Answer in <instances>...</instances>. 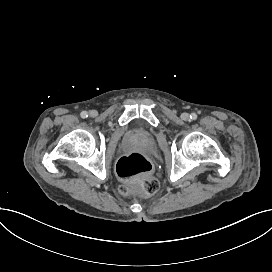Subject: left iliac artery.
I'll list each match as a JSON object with an SVG mask.
<instances>
[{"mask_svg": "<svg viewBox=\"0 0 272 272\" xmlns=\"http://www.w3.org/2000/svg\"><path fill=\"white\" fill-rule=\"evenodd\" d=\"M190 118H191L192 120H196V119H197V114L192 113V114L190 115Z\"/></svg>", "mask_w": 272, "mask_h": 272, "instance_id": "left-iliac-artery-1", "label": "left iliac artery"}]
</instances>
